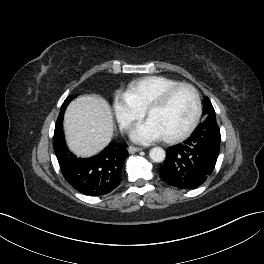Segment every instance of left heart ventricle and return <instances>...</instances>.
<instances>
[{
  "label": "left heart ventricle",
  "instance_id": "1",
  "mask_svg": "<svg viewBox=\"0 0 264 264\" xmlns=\"http://www.w3.org/2000/svg\"><path fill=\"white\" fill-rule=\"evenodd\" d=\"M195 113V100L187 88L177 90L161 108L152 111L148 117L161 131L163 137L174 136L184 131Z\"/></svg>",
  "mask_w": 264,
  "mask_h": 264
}]
</instances>
